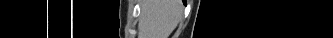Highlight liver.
<instances>
[{
  "label": "liver",
  "mask_w": 333,
  "mask_h": 38,
  "mask_svg": "<svg viewBox=\"0 0 333 38\" xmlns=\"http://www.w3.org/2000/svg\"><path fill=\"white\" fill-rule=\"evenodd\" d=\"M183 11L180 0H144L139 22V38H168Z\"/></svg>",
  "instance_id": "liver-1"
}]
</instances>
